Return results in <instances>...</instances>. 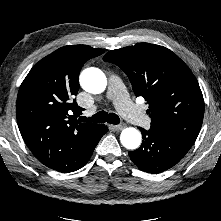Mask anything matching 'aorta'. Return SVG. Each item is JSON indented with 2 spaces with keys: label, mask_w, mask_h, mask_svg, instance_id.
Returning <instances> with one entry per match:
<instances>
[{
  "label": "aorta",
  "mask_w": 221,
  "mask_h": 221,
  "mask_svg": "<svg viewBox=\"0 0 221 221\" xmlns=\"http://www.w3.org/2000/svg\"><path fill=\"white\" fill-rule=\"evenodd\" d=\"M80 85L85 91L91 94H100L106 89L107 78L98 68H86L80 74ZM141 140L140 131L133 127L124 129L120 135L121 144L131 150L138 148Z\"/></svg>",
  "instance_id": "aorta-1"
}]
</instances>
